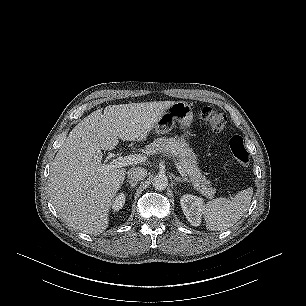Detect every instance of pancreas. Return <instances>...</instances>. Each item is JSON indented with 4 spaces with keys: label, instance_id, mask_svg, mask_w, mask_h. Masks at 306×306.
<instances>
[{
    "label": "pancreas",
    "instance_id": "obj_1",
    "mask_svg": "<svg viewBox=\"0 0 306 306\" xmlns=\"http://www.w3.org/2000/svg\"><path fill=\"white\" fill-rule=\"evenodd\" d=\"M145 149L150 155L165 154L177 160L194 188L206 198H213L216 193L215 188L210 187V181L202 175L200 169L197 167L194 152L180 139L157 138L147 145Z\"/></svg>",
    "mask_w": 306,
    "mask_h": 306
}]
</instances>
